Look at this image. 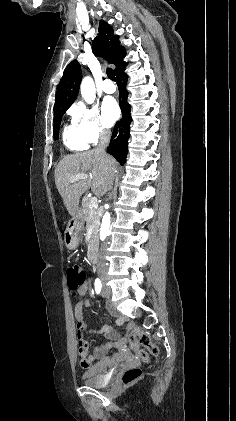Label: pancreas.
Returning <instances> with one entry per match:
<instances>
[{
    "label": "pancreas",
    "instance_id": "1",
    "mask_svg": "<svg viewBox=\"0 0 236 421\" xmlns=\"http://www.w3.org/2000/svg\"><path fill=\"white\" fill-rule=\"evenodd\" d=\"M90 198H83L82 200V211L86 225L91 227L93 235L91 239H98V231L100 225L99 208H90Z\"/></svg>",
    "mask_w": 236,
    "mask_h": 421
}]
</instances>
